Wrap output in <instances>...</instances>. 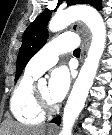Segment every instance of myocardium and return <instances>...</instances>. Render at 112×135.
<instances>
[{
    "label": "myocardium",
    "instance_id": "myocardium-1",
    "mask_svg": "<svg viewBox=\"0 0 112 135\" xmlns=\"http://www.w3.org/2000/svg\"><path fill=\"white\" fill-rule=\"evenodd\" d=\"M33 96L36 103L37 108L44 114H52L58 109V105L47 102L44 98H42L38 92L37 87L33 89Z\"/></svg>",
    "mask_w": 112,
    "mask_h": 135
}]
</instances>
